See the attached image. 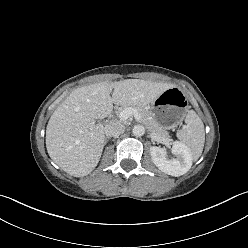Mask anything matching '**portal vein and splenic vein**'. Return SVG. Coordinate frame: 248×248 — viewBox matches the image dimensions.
Wrapping results in <instances>:
<instances>
[{
    "instance_id": "portal-vein-and-splenic-vein-1",
    "label": "portal vein and splenic vein",
    "mask_w": 248,
    "mask_h": 248,
    "mask_svg": "<svg viewBox=\"0 0 248 248\" xmlns=\"http://www.w3.org/2000/svg\"><path fill=\"white\" fill-rule=\"evenodd\" d=\"M131 116H134L135 119H137V120L140 119V115H139L138 111L135 108H132V107L125 108L124 110H122L119 113V118L121 120H127Z\"/></svg>"
}]
</instances>
